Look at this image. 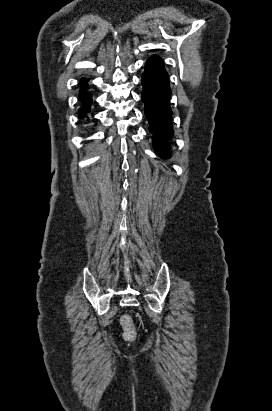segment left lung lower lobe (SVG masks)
Listing matches in <instances>:
<instances>
[{
	"label": "left lung lower lobe",
	"instance_id": "0a47b994",
	"mask_svg": "<svg viewBox=\"0 0 272 411\" xmlns=\"http://www.w3.org/2000/svg\"><path fill=\"white\" fill-rule=\"evenodd\" d=\"M142 100L145 103V115L149 120L155 151L167 158L170 156L169 140L173 135L172 111L170 109V86L163 60L151 56L145 65L142 76Z\"/></svg>",
	"mask_w": 272,
	"mask_h": 411
}]
</instances>
